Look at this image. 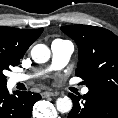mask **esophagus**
<instances>
[{"label": "esophagus", "mask_w": 118, "mask_h": 118, "mask_svg": "<svg viewBox=\"0 0 118 118\" xmlns=\"http://www.w3.org/2000/svg\"><path fill=\"white\" fill-rule=\"evenodd\" d=\"M59 93L58 92H52V91H45L42 93L43 97H54V96H58Z\"/></svg>", "instance_id": "esophagus-1"}]
</instances>
